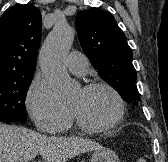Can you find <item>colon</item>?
I'll return each mask as SVG.
<instances>
[{
  "instance_id": "colon-1",
  "label": "colon",
  "mask_w": 168,
  "mask_h": 162,
  "mask_svg": "<svg viewBox=\"0 0 168 162\" xmlns=\"http://www.w3.org/2000/svg\"><path fill=\"white\" fill-rule=\"evenodd\" d=\"M136 162H146V160L143 157H140V158L137 159Z\"/></svg>"
}]
</instances>
